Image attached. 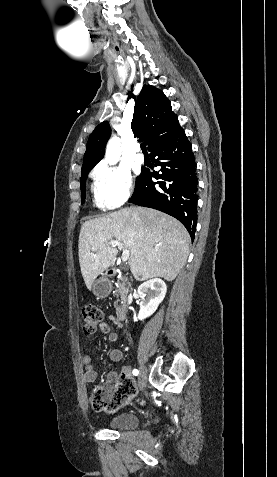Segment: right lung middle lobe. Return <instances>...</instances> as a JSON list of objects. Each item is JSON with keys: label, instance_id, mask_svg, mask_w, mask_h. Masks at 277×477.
Returning <instances> with one entry per match:
<instances>
[{"label": "right lung middle lobe", "instance_id": "obj_1", "mask_svg": "<svg viewBox=\"0 0 277 477\" xmlns=\"http://www.w3.org/2000/svg\"><path fill=\"white\" fill-rule=\"evenodd\" d=\"M91 169H92V168H88V169H85V170H82V171H81L80 181H81V199H82V203H83L84 200H85V180H86L87 175H88V173H89V171H90ZM141 175H142V173L140 174L139 177H137L136 183L139 181Z\"/></svg>", "mask_w": 277, "mask_h": 477}]
</instances>
